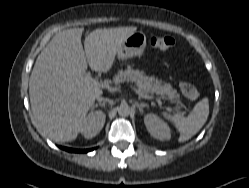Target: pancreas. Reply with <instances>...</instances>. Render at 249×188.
Wrapping results in <instances>:
<instances>
[{
    "label": "pancreas",
    "mask_w": 249,
    "mask_h": 188,
    "mask_svg": "<svg viewBox=\"0 0 249 188\" xmlns=\"http://www.w3.org/2000/svg\"><path fill=\"white\" fill-rule=\"evenodd\" d=\"M126 80L136 82L144 94L167 95L169 100L180 104L177 90L173 89L169 83H163L154 77L146 76L143 71L134 69L132 65H128L124 70L120 69L113 79L115 85H119Z\"/></svg>",
    "instance_id": "pancreas-1"
}]
</instances>
